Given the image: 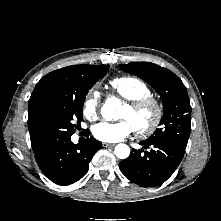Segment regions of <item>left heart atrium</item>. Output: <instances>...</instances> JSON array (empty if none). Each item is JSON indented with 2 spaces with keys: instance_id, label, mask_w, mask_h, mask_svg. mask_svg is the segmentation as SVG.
Returning a JSON list of instances; mask_svg holds the SVG:
<instances>
[{
  "instance_id": "39dd6f15",
  "label": "left heart atrium",
  "mask_w": 221,
  "mask_h": 221,
  "mask_svg": "<svg viewBox=\"0 0 221 221\" xmlns=\"http://www.w3.org/2000/svg\"><path fill=\"white\" fill-rule=\"evenodd\" d=\"M134 130L133 125L127 119L118 122H100L93 126V136L102 141L115 143L123 140Z\"/></svg>"
}]
</instances>
